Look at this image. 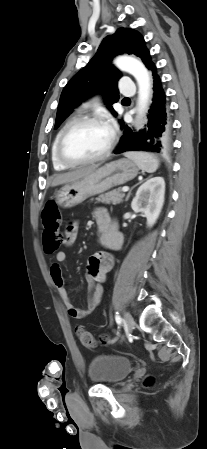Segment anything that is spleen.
<instances>
[{"label":"spleen","instance_id":"3e777b00","mask_svg":"<svg viewBox=\"0 0 207 449\" xmlns=\"http://www.w3.org/2000/svg\"><path fill=\"white\" fill-rule=\"evenodd\" d=\"M125 156L134 161L139 169L144 172L153 173L159 167V160L150 153L127 152Z\"/></svg>","mask_w":207,"mask_h":449}]
</instances>
